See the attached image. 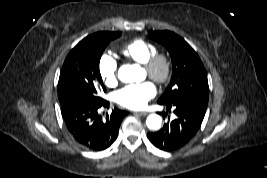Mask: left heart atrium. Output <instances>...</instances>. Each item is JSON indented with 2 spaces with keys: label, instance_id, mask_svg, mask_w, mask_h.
Returning a JSON list of instances; mask_svg holds the SVG:
<instances>
[{
  "label": "left heart atrium",
  "instance_id": "39dd6f15",
  "mask_svg": "<svg viewBox=\"0 0 267 178\" xmlns=\"http://www.w3.org/2000/svg\"><path fill=\"white\" fill-rule=\"evenodd\" d=\"M155 95V85L151 81H145L121 88L115 93L114 99L122 107L138 110L145 107Z\"/></svg>",
  "mask_w": 267,
  "mask_h": 178
}]
</instances>
